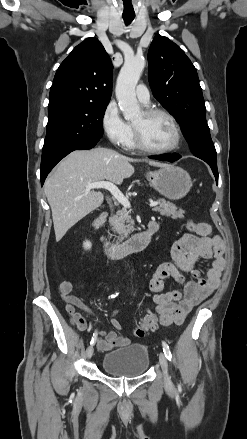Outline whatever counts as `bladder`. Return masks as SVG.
<instances>
[{
	"label": "bladder",
	"mask_w": 247,
	"mask_h": 439,
	"mask_svg": "<svg viewBox=\"0 0 247 439\" xmlns=\"http://www.w3.org/2000/svg\"><path fill=\"white\" fill-rule=\"evenodd\" d=\"M101 366L107 374L115 377H138L149 367V352L142 344H129L106 353Z\"/></svg>",
	"instance_id": "31cf9c89"
}]
</instances>
